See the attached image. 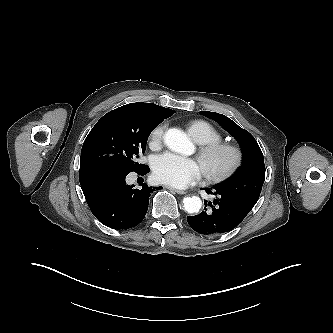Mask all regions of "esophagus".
<instances>
[{"label":"esophagus","mask_w":333,"mask_h":333,"mask_svg":"<svg viewBox=\"0 0 333 333\" xmlns=\"http://www.w3.org/2000/svg\"><path fill=\"white\" fill-rule=\"evenodd\" d=\"M166 188L169 189L170 191L174 192V193H177V194H181V195H182V194H186L185 191H183V190H178V189H175V188L170 187V186H167Z\"/></svg>","instance_id":"1"}]
</instances>
